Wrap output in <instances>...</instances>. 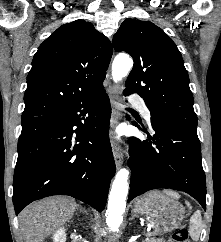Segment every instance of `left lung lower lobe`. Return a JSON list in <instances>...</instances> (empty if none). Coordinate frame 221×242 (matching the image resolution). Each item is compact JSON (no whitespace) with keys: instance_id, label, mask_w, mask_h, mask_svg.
Here are the masks:
<instances>
[{"instance_id":"0a47b994","label":"left lung lower lobe","mask_w":221,"mask_h":242,"mask_svg":"<svg viewBox=\"0 0 221 242\" xmlns=\"http://www.w3.org/2000/svg\"><path fill=\"white\" fill-rule=\"evenodd\" d=\"M129 94L124 91L125 96ZM151 126L150 133L144 130L147 141L130 140L128 202L146 191L170 188L188 193L206 210V178L197 129L163 120L151 121Z\"/></svg>"}]
</instances>
